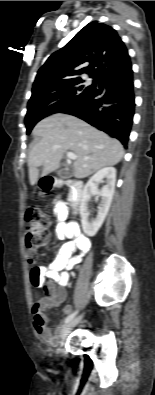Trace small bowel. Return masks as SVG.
<instances>
[{
	"label": "small bowel",
	"mask_w": 155,
	"mask_h": 395,
	"mask_svg": "<svg viewBox=\"0 0 155 395\" xmlns=\"http://www.w3.org/2000/svg\"><path fill=\"white\" fill-rule=\"evenodd\" d=\"M53 213L57 221V236L66 242L47 266L45 263H36L35 267H29V281H31L33 292H46L45 279L65 287L69 283V272L81 262L83 254L90 248L89 238L80 232L78 225L66 221L67 206L65 203H56ZM63 299L64 294H59L54 298L47 297L34 304L31 309L36 333L51 345L58 343L60 324L57 325L56 332L53 334L47 325L43 311ZM70 310V307H65L64 315L68 314Z\"/></svg>",
	"instance_id": "c3829d8e"
}]
</instances>
